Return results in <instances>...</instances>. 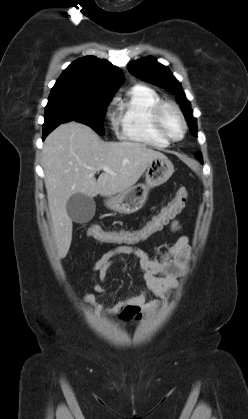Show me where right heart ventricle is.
Returning <instances> with one entry per match:
<instances>
[{
	"instance_id": "obj_1",
	"label": "right heart ventricle",
	"mask_w": 248,
	"mask_h": 419,
	"mask_svg": "<svg viewBox=\"0 0 248 419\" xmlns=\"http://www.w3.org/2000/svg\"><path fill=\"white\" fill-rule=\"evenodd\" d=\"M161 100L158 93L141 84L134 85L116 100L114 123L120 138L153 147L169 143L154 130L151 111Z\"/></svg>"
}]
</instances>
